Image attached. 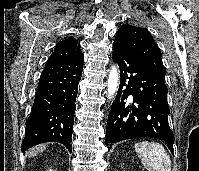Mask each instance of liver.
Here are the masks:
<instances>
[{"label": "liver", "mask_w": 199, "mask_h": 171, "mask_svg": "<svg viewBox=\"0 0 199 171\" xmlns=\"http://www.w3.org/2000/svg\"><path fill=\"white\" fill-rule=\"evenodd\" d=\"M46 144H42V145H39V146H36L34 148H32L31 150H29L27 152V156L28 157H33L35 156L36 154H38L39 152L43 151L46 149Z\"/></svg>", "instance_id": "obj_1"}]
</instances>
